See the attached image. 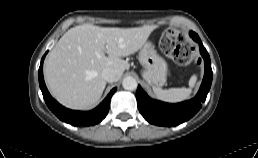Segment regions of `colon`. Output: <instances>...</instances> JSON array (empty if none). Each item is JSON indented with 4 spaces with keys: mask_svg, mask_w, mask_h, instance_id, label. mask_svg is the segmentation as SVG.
Wrapping results in <instances>:
<instances>
[{
    "mask_svg": "<svg viewBox=\"0 0 258 158\" xmlns=\"http://www.w3.org/2000/svg\"><path fill=\"white\" fill-rule=\"evenodd\" d=\"M159 45L161 51L179 65H189L196 62L194 49L186 44V35L180 29L166 30Z\"/></svg>",
    "mask_w": 258,
    "mask_h": 158,
    "instance_id": "1",
    "label": "colon"
}]
</instances>
